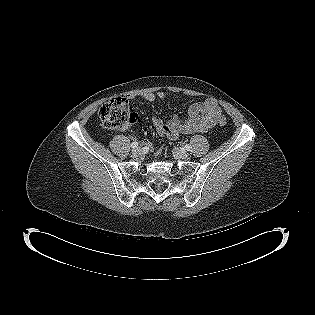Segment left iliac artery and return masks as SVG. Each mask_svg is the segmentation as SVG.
Returning <instances> with one entry per match:
<instances>
[{
	"instance_id": "left-iliac-artery-1",
	"label": "left iliac artery",
	"mask_w": 315,
	"mask_h": 315,
	"mask_svg": "<svg viewBox=\"0 0 315 315\" xmlns=\"http://www.w3.org/2000/svg\"><path fill=\"white\" fill-rule=\"evenodd\" d=\"M191 148H192L191 145H189V144L185 145V149H186V150L190 151Z\"/></svg>"
}]
</instances>
